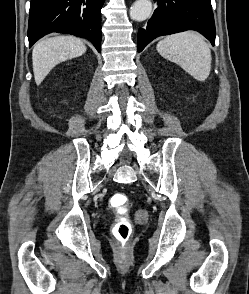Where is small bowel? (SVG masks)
I'll return each instance as SVG.
<instances>
[{
  "label": "small bowel",
  "mask_w": 249,
  "mask_h": 294,
  "mask_svg": "<svg viewBox=\"0 0 249 294\" xmlns=\"http://www.w3.org/2000/svg\"><path fill=\"white\" fill-rule=\"evenodd\" d=\"M144 215H145L144 212H141V213H140V216H144Z\"/></svg>",
  "instance_id": "c3829d8e"
}]
</instances>
